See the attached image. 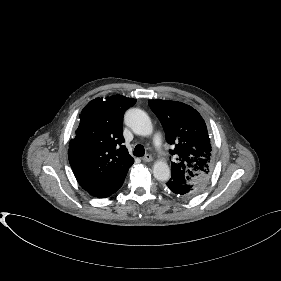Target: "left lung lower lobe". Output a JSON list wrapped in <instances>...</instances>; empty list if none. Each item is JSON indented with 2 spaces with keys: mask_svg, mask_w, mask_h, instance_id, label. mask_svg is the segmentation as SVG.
Returning <instances> with one entry per match:
<instances>
[{
  "mask_svg": "<svg viewBox=\"0 0 281 281\" xmlns=\"http://www.w3.org/2000/svg\"><path fill=\"white\" fill-rule=\"evenodd\" d=\"M166 190L169 193L181 198H190L199 192V187L194 185L179 184L174 181L166 183Z\"/></svg>",
  "mask_w": 281,
  "mask_h": 281,
  "instance_id": "1",
  "label": "left lung lower lobe"
}]
</instances>
